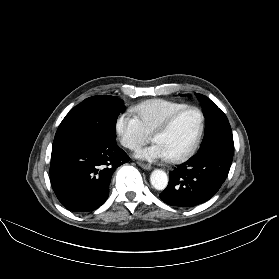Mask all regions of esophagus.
<instances>
[{
  "label": "esophagus",
  "instance_id": "obj_1",
  "mask_svg": "<svg viewBox=\"0 0 279 279\" xmlns=\"http://www.w3.org/2000/svg\"><path fill=\"white\" fill-rule=\"evenodd\" d=\"M138 165L145 170H151L152 169V166L150 164H147V163L138 162Z\"/></svg>",
  "mask_w": 279,
  "mask_h": 279
}]
</instances>
